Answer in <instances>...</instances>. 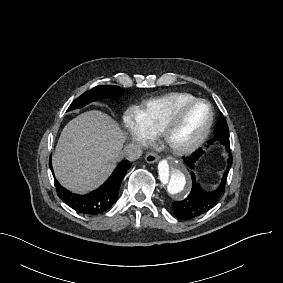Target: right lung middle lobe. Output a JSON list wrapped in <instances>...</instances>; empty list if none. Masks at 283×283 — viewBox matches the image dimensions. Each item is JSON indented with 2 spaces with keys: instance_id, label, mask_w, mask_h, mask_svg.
Wrapping results in <instances>:
<instances>
[{
  "instance_id": "obj_1",
  "label": "right lung middle lobe",
  "mask_w": 283,
  "mask_h": 283,
  "mask_svg": "<svg viewBox=\"0 0 283 283\" xmlns=\"http://www.w3.org/2000/svg\"><path fill=\"white\" fill-rule=\"evenodd\" d=\"M124 89L113 85H101L94 87L79 96L67 109V111L81 108L89 102L96 101L103 98H114L120 96Z\"/></svg>"
}]
</instances>
